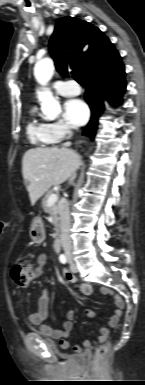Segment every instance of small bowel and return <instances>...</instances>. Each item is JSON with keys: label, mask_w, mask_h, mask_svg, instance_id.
Wrapping results in <instances>:
<instances>
[{"label": "small bowel", "mask_w": 145, "mask_h": 385, "mask_svg": "<svg viewBox=\"0 0 145 385\" xmlns=\"http://www.w3.org/2000/svg\"><path fill=\"white\" fill-rule=\"evenodd\" d=\"M46 262H47V257L45 254L42 253L37 257V266L34 270L33 278H38L42 275L43 273L42 268L46 264ZM62 274L64 279L67 282L73 283V284L77 282V277L70 271L63 269ZM77 289L79 293L84 296H90L92 294V287L87 283L79 284L77 286ZM101 292L113 298L117 309L110 316L108 320V325L101 328V336L99 338L100 342L106 340L110 336L111 329L118 324L122 315V309L124 308V301L122 297L119 294H117L113 289H110L108 287H102ZM49 302H50V299H49L48 291L44 290L38 300L37 311L30 313L28 315V321L33 325L39 326L40 332L42 334L54 339H58L62 348H68L70 344L66 340V338L68 337V335L70 334V332L74 327V318L76 316V311L72 310L68 312L67 319L64 322L62 329H54L44 323L48 315ZM86 314L90 318L98 317V314L95 313L90 308H86ZM93 345H95V341L86 340L84 342L83 347L90 348ZM83 347L76 345L74 346V351L77 353H82Z\"/></svg>", "instance_id": "c3829d8e"}]
</instances>
